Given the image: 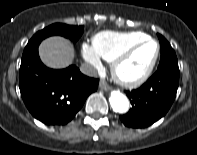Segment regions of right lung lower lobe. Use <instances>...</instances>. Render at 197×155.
Returning <instances> with one entry per match:
<instances>
[{"label":"right lung lower lobe","instance_id":"98d812e1","mask_svg":"<svg viewBox=\"0 0 197 155\" xmlns=\"http://www.w3.org/2000/svg\"><path fill=\"white\" fill-rule=\"evenodd\" d=\"M19 88L26 107L36 119L46 125H64L97 90L98 79L83 75L75 65L61 70L47 68L36 49L22 58Z\"/></svg>","mask_w":197,"mask_h":155}]
</instances>
